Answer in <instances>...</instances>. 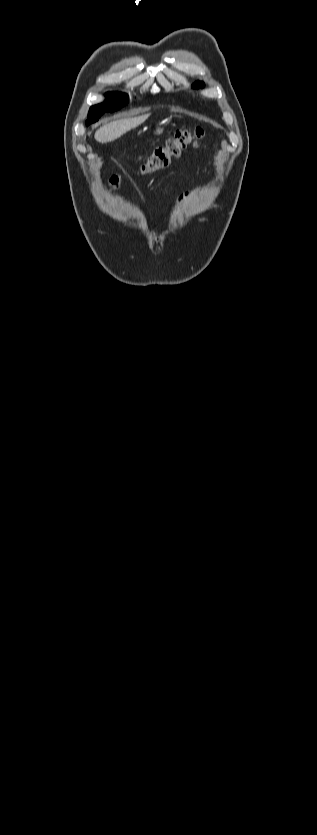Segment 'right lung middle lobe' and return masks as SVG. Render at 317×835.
I'll use <instances>...</instances> for the list:
<instances>
[{"instance_id":"1","label":"right lung middle lobe","mask_w":317,"mask_h":835,"mask_svg":"<svg viewBox=\"0 0 317 835\" xmlns=\"http://www.w3.org/2000/svg\"><path fill=\"white\" fill-rule=\"evenodd\" d=\"M107 100L101 104L92 106L89 110L86 125L98 120L104 112H113L128 103V95L123 93H107Z\"/></svg>"}]
</instances>
